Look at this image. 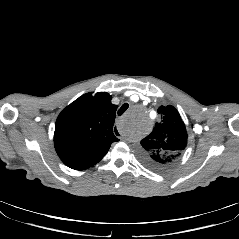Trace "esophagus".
<instances>
[{
	"label": "esophagus",
	"mask_w": 239,
	"mask_h": 239,
	"mask_svg": "<svg viewBox=\"0 0 239 239\" xmlns=\"http://www.w3.org/2000/svg\"><path fill=\"white\" fill-rule=\"evenodd\" d=\"M113 133H114V135L117 137V138H120L121 136H122V133H121V131L119 130L120 129V126L118 125V124H115L114 126H113Z\"/></svg>",
	"instance_id": "1"
}]
</instances>
